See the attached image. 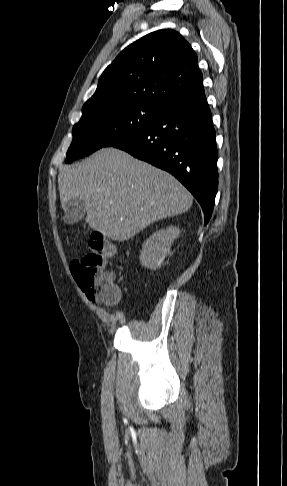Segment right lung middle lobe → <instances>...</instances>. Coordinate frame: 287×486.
I'll return each instance as SVG.
<instances>
[{"mask_svg": "<svg viewBox=\"0 0 287 486\" xmlns=\"http://www.w3.org/2000/svg\"><path fill=\"white\" fill-rule=\"evenodd\" d=\"M166 110L149 101L105 103L82 110L80 121L73 127L66 163L134 138Z\"/></svg>", "mask_w": 287, "mask_h": 486, "instance_id": "1", "label": "right lung middle lobe"}]
</instances>
